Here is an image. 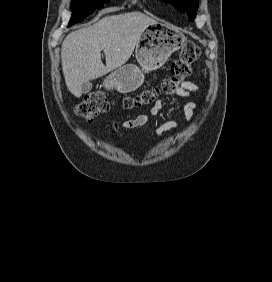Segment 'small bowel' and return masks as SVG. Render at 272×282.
<instances>
[{
    "instance_id": "1",
    "label": "small bowel",
    "mask_w": 272,
    "mask_h": 282,
    "mask_svg": "<svg viewBox=\"0 0 272 282\" xmlns=\"http://www.w3.org/2000/svg\"><path fill=\"white\" fill-rule=\"evenodd\" d=\"M198 86L192 82H185L178 90V96L181 98H189L192 93L198 91ZM196 103L188 102L184 106V115L187 120H191L195 115ZM162 110V104L157 101L146 113L138 115L136 118H130L129 116L121 123H115L116 131L120 129H131L144 125L149 118V115H157ZM177 123L175 121H166L156 131V135L159 138H163L165 133L170 129L176 128Z\"/></svg>"
}]
</instances>
